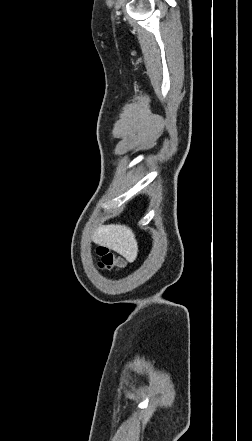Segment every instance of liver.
<instances>
[{
	"label": "liver",
	"mask_w": 252,
	"mask_h": 441,
	"mask_svg": "<svg viewBox=\"0 0 252 441\" xmlns=\"http://www.w3.org/2000/svg\"><path fill=\"white\" fill-rule=\"evenodd\" d=\"M96 244L105 246L133 262L138 254V243L131 228L121 224L100 226L93 234Z\"/></svg>",
	"instance_id": "1"
}]
</instances>
